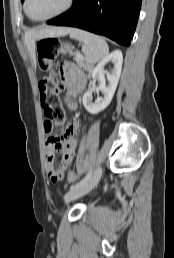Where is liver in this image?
<instances>
[{"label": "liver", "instance_id": "6515ba94", "mask_svg": "<svg viewBox=\"0 0 174 258\" xmlns=\"http://www.w3.org/2000/svg\"><path fill=\"white\" fill-rule=\"evenodd\" d=\"M69 28L65 27H48L42 30L29 31L25 34V44L32 56L35 59V42L37 39L47 37H58L69 33Z\"/></svg>", "mask_w": 174, "mask_h": 258}]
</instances>
